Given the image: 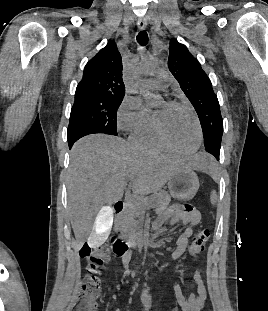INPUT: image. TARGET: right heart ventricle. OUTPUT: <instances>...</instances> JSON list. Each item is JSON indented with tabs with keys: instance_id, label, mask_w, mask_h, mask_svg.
Wrapping results in <instances>:
<instances>
[{
	"instance_id": "obj_1",
	"label": "right heart ventricle",
	"mask_w": 268,
	"mask_h": 311,
	"mask_svg": "<svg viewBox=\"0 0 268 311\" xmlns=\"http://www.w3.org/2000/svg\"><path fill=\"white\" fill-rule=\"evenodd\" d=\"M130 139L135 145L142 148L155 150L166 148L157 137L152 116L142 128L131 133Z\"/></svg>"
}]
</instances>
